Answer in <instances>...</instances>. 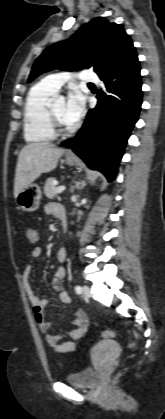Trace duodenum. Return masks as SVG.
<instances>
[{
	"instance_id": "obj_1",
	"label": "duodenum",
	"mask_w": 165,
	"mask_h": 419,
	"mask_svg": "<svg viewBox=\"0 0 165 419\" xmlns=\"http://www.w3.org/2000/svg\"><path fill=\"white\" fill-rule=\"evenodd\" d=\"M56 215L61 220L62 232H66L68 224H67V216H66L65 209L61 206H58L56 210Z\"/></svg>"
}]
</instances>
